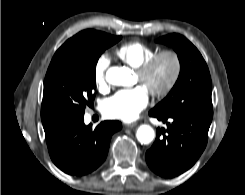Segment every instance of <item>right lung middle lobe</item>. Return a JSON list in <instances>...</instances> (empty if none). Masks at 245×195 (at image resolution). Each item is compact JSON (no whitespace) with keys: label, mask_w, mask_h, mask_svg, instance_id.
Segmentation results:
<instances>
[{"label":"right lung middle lobe","mask_w":245,"mask_h":195,"mask_svg":"<svg viewBox=\"0 0 245 195\" xmlns=\"http://www.w3.org/2000/svg\"><path fill=\"white\" fill-rule=\"evenodd\" d=\"M121 36L84 30L68 39L54 54L47 70L42 107L59 123L84 116L93 102L95 70L100 55Z\"/></svg>","instance_id":"obj_1"}]
</instances>
